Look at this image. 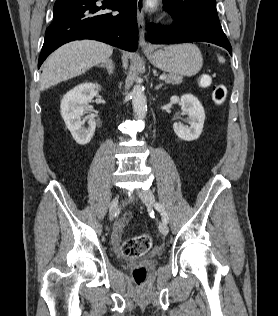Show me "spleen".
I'll return each mask as SVG.
<instances>
[{
    "instance_id": "1",
    "label": "spleen",
    "mask_w": 278,
    "mask_h": 316,
    "mask_svg": "<svg viewBox=\"0 0 278 316\" xmlns=\"http://www.w3.org/2000/svg\"><path fill=\"white\" fill-rule=\"evenodd\" d=\"M218 60L222 63L225 62V59L222 56H218Z\"/></svg>"
}]
</instances>
